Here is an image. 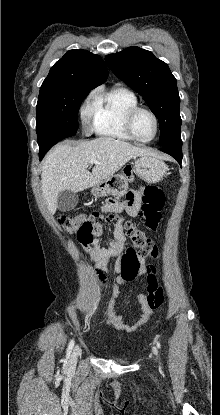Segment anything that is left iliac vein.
<instances>
[{
	"label": "left iliac vein",
	"mask_w": 220,
	"mask_h": 415,
	"mask_svg": "<svg viewBox=\"0 0 220 415\" xmlns=\"http://www.w3.org/2000/svg\"><path fill=\"white\" fill-rule=\"evenodd\" d=\"M152 352H153V354L155 355V356H157V354H158V349H157V347H153L152 348Z\"/></svg>",
	"instance_id": "left-iliac-vein-1"
}]
</instances>
